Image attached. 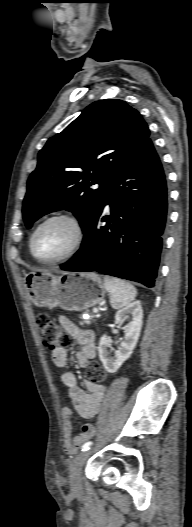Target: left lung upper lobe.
Returning a JSON list of instances; mask_svg holds the SVG:
<instances>
[{
    "label": "left lung upper lobe",
    "instance_id": "1",
    "mask_svg": "<svg viewBox=\"0 0 192 527\" xmlns=\"http://www.w3.org/2000/svg\"><path fill=\"white\" fill-rule=\"evenodd\" d=\"M149 135L146 122L126 102L105 99L89 105L39 152L23 202L27 228L47 213L66 209L75 214L84 233L108 187ZM94 184L99 187L90 188Z\"/></svg>",
    "mask_w": 192,
    "mask_h": 527
}]
</instances>
